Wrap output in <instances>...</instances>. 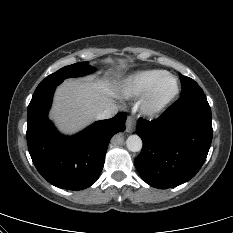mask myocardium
Masks as SVG:
<instances>
[{"label":"myocardium","instance_id":"myocardium-1","mask_svg":"<svg viewBox=\"0 0 233 233\" xmlns=\"http://www.w3.org/2000/svg\"><path fill=\"white\" fill-rule=\"evenodd\" d=\"M172 80L174 88L172 92L164 98L158 97V90L161 84L166 80ZM180 93V84L176 76L165 73L159 77L154 84L144 93L141 102L140 110L144 115L156 116L166 110L171 103L177 98Z\"/></svg>","mask_w":233,"mask_h":233}]
</instances>
